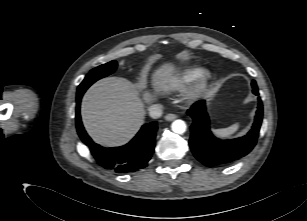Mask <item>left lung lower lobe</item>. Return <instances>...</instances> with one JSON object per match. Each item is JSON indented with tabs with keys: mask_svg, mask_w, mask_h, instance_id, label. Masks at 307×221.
<instances>
[{
	"mask_svg": "<svg viewBox=\"0 0 307 221\" xmlns=\"http://www.w3.org/2000/svg\"><path fill=\"white\" fill-rule=\"evenodd\" d=\"M253 93L259 95L256 82L252 81ZM193 118L190 147L194 156L205 166L214 167L232 163L247 155L255 146L263 117V104L259 98L255 122L247 135L233 140H220L211 133L205 101L195 103L187 111Z\"/></svg>",
	"mask_w": 307,
	"mask_h": 221,
	"instance_id": "0a47b994",
	"label": "left lung lower lobe"
}]
</instances>
